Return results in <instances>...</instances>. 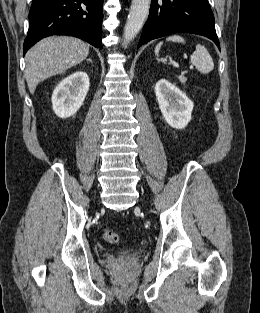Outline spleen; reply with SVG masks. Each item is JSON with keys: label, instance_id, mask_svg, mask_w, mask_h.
<instances>
[{"label": "spleen", "instance_id": "3e777b00", "mask_svg": "<svg viewBox=\"0 0 260 313\" xmlns=\"http://www.w3.org/2000/svg\"><path fill=\"white\" fill-rule=\"evenodd\" d=\"M167 41L185 43V40L180 35H171ZM163 42H160L155 48V54L158 55ZM190 62L196 66L197 70L203 74H208L214 69V62L207 49L200 44L196 45L195 52L190 56Z\"/></svg>", "mask_w": 260, "mask_h": 313}]
</instances>
